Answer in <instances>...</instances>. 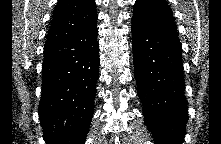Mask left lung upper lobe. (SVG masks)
Masks as SVG:
<instances>
[{
	"mask_svg": "<svg viewBox=\"0 0 221 144\" xmlns=\"http://www.w3.org/2000/svg\"><path fill=\"white\" fill-rule=\"evenodd\" d=\"M132 19L148 25L176 30L172 10L165 0H136Z\"/></svg>",
	"mask_w": 221,
	"mask_h": 144,
	"instance_id": "obj_1",
	"label": "left lung upper lobe"
}]
</instances>
